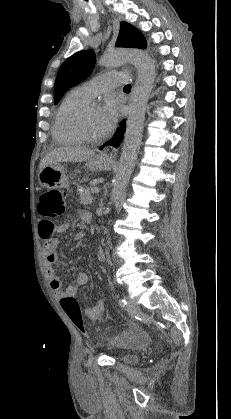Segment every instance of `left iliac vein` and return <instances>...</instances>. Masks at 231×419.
<instances>
[{"label": "left iliac vein", "mask_w": 231, "mask_h": 419, "mask_svg": "<svg viewBox=\"0 0 231 419\" xmlns=\"http://www.w3.org/2000/svg\"><path fill=\"white\" fill-rule=\"evenodd\" d=\"M126 300L128 302V305H127L128 310L132 313H137L139 311L138 303L130 297H126Z\"/></svg>", "instance_id": "4c4485c4"}]
</instances>
